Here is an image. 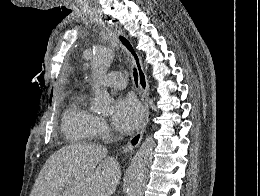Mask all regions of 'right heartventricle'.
<instances>
[{"mask_svg": "<svg viewBox=\"0 0 260 196\" xmlns=\"http://www.w3.org/2000/svg\"><path fill=\"white\" fill-rule=\"evenodd\" d=\"M87 88L75 90L69 108L63 115V126L68 134L76 130H90L95 128L96 115L87 106ZM94 138L83 137L76 143H94ZM58 192V190H50Z\"/></svg>", "mask_w": 260, "mask_h": 196, "instance_id": "e07e8e85", "label": "right heart ventricle"}]
</instances>
